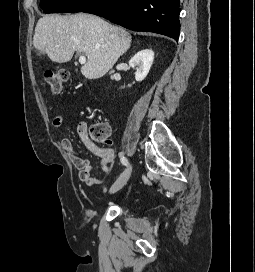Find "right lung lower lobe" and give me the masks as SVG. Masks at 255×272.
<instances>
[{
  "mask_svg": "<svg viewBox=\"0 0 255 272\" xmlns=\"http://www.w3.org/2000/svg\"><path fill=\"white\" fill-rule=\"evenodd\" d=\"M82 12L104 17L133 31L179 38V0H97Z\"/></svg>",
  "mask_w": 255,
  "mask_h": 272,
  "instance_id": "98d812e1",
  "label": "right lung lower lobe"
}]
</instances>
